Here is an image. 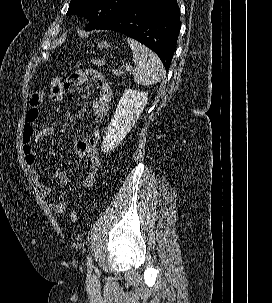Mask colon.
Returning <instances> with one entry per match:
<instances>
[{
  "mask_svg": "<svg viewBox=\"0 0 272 303\" xmlns=\"http://www.w3.org/2000/svg\"><path fill=\"white\" fill-rule=\"evenodd\" d=\"M92 63L99 67L103 68L105 66V60L100 57H96L92 60ZM111 74L113 77L118 78L121 76V70L119 68H112ZM63 91H64V85L60 79V77H56L53 79L51 86H50V93H49V99L53 104H58L61 102L63 98ZM70 219L73 222H77L79 217L76 211H71L70 213Z\"/></svg>",
  "mask_w": 272,
  "mask_h": 303,
  "instance_id": "1",
  "label": "colon"
}]
</instances>
